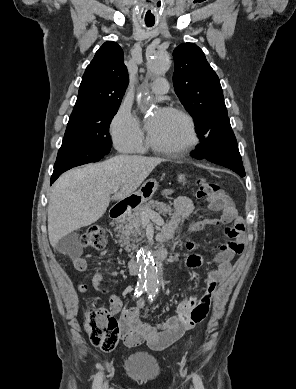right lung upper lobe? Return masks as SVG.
Returning a JSON list of instances; mask_svg holds the SVG:
<instances>
[{
	"instance_id": "right-lung-upper-lobe-1",
	"label": "right lung upper lobe",
	"mask_w": 296,
	"mask_h": 389,
	"mask_svg": "<svg viewBox=\"0 0 296 389\" xmlns=\"http://www.w3.org/2000/svg\"><path fill=\"white\" fill-rule=\"evenodd\" d=\"M128 82L121 47L113 41L105 42L85 70L69 120L95 109L120 106Z\"/></svg>"
}]
</instances>
